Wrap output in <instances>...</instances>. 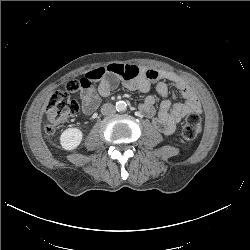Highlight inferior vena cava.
Instances as JSON below:
<instances>
[{"instance_id":"602c4592","label":"inferior vena cava","mask_w":250,"mask_h":250,"mask_svg":"<svg viewBox=\"0 0 250 250\" xmlns=\"http://www.w3.org/2000/svg\"><path fill=\"white\" fill-rule=\"evenodd\" d=\"M115 111V106L111 103H106L102 106L101 112L102 114H107Z\"/></svg>"}]
</instances>
